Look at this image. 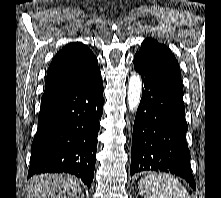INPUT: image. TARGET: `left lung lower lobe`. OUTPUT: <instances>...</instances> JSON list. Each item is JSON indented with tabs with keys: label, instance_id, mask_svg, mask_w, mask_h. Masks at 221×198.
<instances>
[{
	"label": "left lung lower lobe",
	"instance_id": "obj_1",
	"mask_svg": "<svg viewBox=\"0 0 221 198\" xmlns=\"http://www.w3.org/2000/svg\"><path fill=\"white\" fill-rule=\"evenodd\" d=\"M134 68L144 87L133 127L131 175L144 170L171 172L195 190L183 91L139 56H134Z\"/></svg>",
	"mask_w": 221,
	"mask_h": 198
}]
</instances>
